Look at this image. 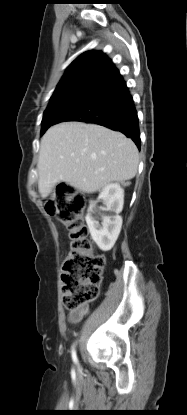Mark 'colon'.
<instances>
[{
  "mask_svg": "<svg viewBox=\"0 0 187 415\" xmlns=\"http://www.w3.org/2000/svg\"><path fill=\"white\" fill-rule=\"evenodd\" d=\"M86 199L75 187L59 184L46 202V210L67 229L70 250L62 268L63 303L77 310L99 295L105 259L93 251L83 212Z\"/></svg>",
  "mask_w": 187,
  "mask_h": 415,
  "instance_id": "1",
  "label": "colon"
}]
</instances>
